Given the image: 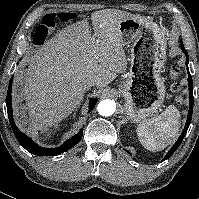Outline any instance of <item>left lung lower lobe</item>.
<instances>
[{
    "label": "left lung lower lobe",
    "mask_w": 199,
    "mask_h": 199,
    "mask_svg": "<svg viewBox=\"0 0 199 199\" xmlns=\"http://www.w3.org/2000/svg\"><path fill=\"white\" fill-rule=\"evenodd\" d=\"M181 49H182L183 53L186 55V66H187V72H188L189 103H190L189 105H190V108H189V111H188L187 121H186L184 130L182 131V134L180 135L179 139L172 146V148L169 150V152L166 154V156L164 157V159L162 161L167 160L176 151V149L179 147V145L181 144V142L183 141V139H184V137L187 133L188 127H189L191 119H192V111H193V103H194V100H193V81H192V77H191V74H190L189 68H188L189 56H188L186 49L184 48L182 41H181Z\"/></svg>",
    "instance_id": "1"
}]
</instances>
